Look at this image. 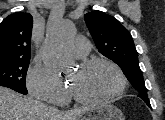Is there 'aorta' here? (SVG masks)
I'll use <instances>...</instances> for the list:
<instances>
[{
	"instance_id": "1",
	"label": "aorta",
	"mask_w": 165,
	"mask_h": 120,
	"mask_svg": "<svg viewBox=\"0 0 165 120\" xmlns=\"http://www.w3.org/2000/svg\"><path fill=\"white\" fill-rule=\"evenodd\" d=\"M72 34L73 24L71 21L63 18L50 19L42 48V57L49 70L54 74H60L67 68V63L61 56V48Z\"/></svg>"
}]
</instances>
